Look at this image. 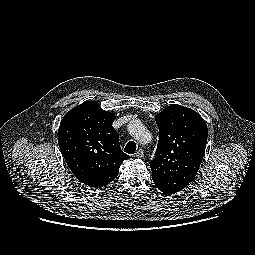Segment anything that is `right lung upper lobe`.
I'll return each mask as SVG.
<instances>
[{"instance_id":"right-lung-upper-lobe-1","label":"right lung upper lobe","mask_w":255,"mask_h":255,"mask_svg":"<svg viewBox=\"0 0 255 255\" xmlns=\"http://www.w3.org/2000/svg\"><path fill=\"white\" fill-rule=\"evenodd\" d=\"M115 115L95 101L71 109L62 119L58 144L75 177L94 188L106 186L118 175L129 156L122 152L112 127Z\"/></svg>"}]
</instances>
